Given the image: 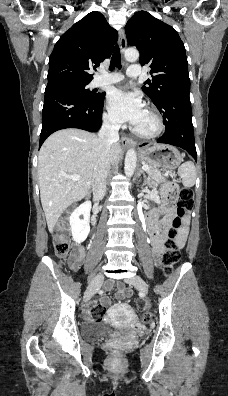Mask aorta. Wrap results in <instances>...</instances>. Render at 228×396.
Wrapping results in <instances>:
<instances>
[{
	"mask_svg": "<svg viewBox=\"0 0 228 396\" xmlns=\"http://www.w3.org/2000/svg\"><path fill=\"white\" fill-rule=\"evenodd\" d=\"M125 59L129 62H135L139 59V52L136 49H127ZM137 156L134 149H129L125 156L124 172L127 177L134 174L136 168Z\"/></svg>",
	"mask_w": 228,
	"mask_h": 396,
	"instance_id": "762f6f07",
	"label": "aorta"
}]
</instances>
